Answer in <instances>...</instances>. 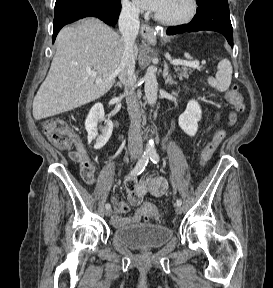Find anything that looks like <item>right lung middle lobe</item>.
Returning a JSON list of instances; mask_svg holds the SVG:
<instances>
[{"label":"right lung middle lobe","mask_w":273,"mask_h":288,"mask_svg":"<svg viewBox=\"0 0 273 288\" xmlns=\"http://www.w3.org/2000/svg\"><path fill=\"white\" fill-rule=\"evenodd\" d=\"M118 1L119 0H56L55 8L62 6V5L86 4V3H90V2H96V3L104 5V6H113Z\"/></svg>","instance_id":"obj_1"}]
</instances>
